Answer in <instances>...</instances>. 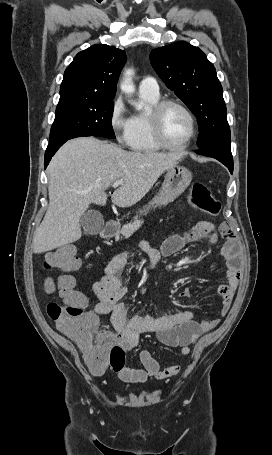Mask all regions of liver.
<instances>
[{
  "instance_id": "liver-1",
  "label": "liver",
  "mask_w": 272,
  "mask_h": 455,
  "mask_svg": "<svg viewBox=\"0 0 272 455\" xmlns=\"http://www.w3.org/2000/svg\"><path fill=\"white\" fill-rule=\"evenodd\" d=\"M182 154L129 152L93 137L66 142L49 166V206L33 238V252L44 253L81 238L80 218L91 203L105 205V191L119 207L139 202Z\"/></svg>"
}]
</instances>
